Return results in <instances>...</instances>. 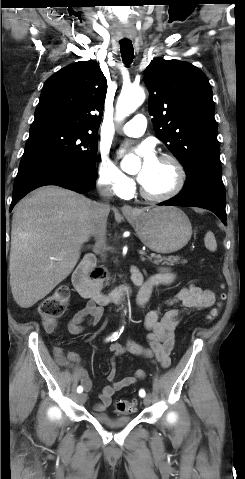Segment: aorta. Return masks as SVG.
<instances>
[{
  "label": "aorta",
  "instance_id": "1",
  "mask_svg": "<svg viewBox=\"0 0 245 479\" xmlns=\"http://www.w3.org/2000/svg\"><path fill=\"white\" fill-rule=\"evenodd\" d=\"M145 100V93L141 87L130 86L123 88L116 105L117 119L121 120L134 112ZM121 168L126 173H136L140 168V160L136 157H126L121 162Z\"/></svg>",
  "mask_w": 245,
  "mask_h": 479
}]
</instances>
